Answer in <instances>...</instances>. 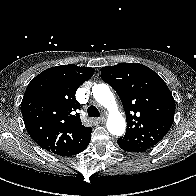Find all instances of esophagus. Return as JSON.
I'll use <instances>...</instances> for the list:
<instances>
[{"label":"esophagus","mask_w":196,"mask_h":196,"mask_svg":"<svg viewBox=\"0 0 196 196\" xmlns=\"http://www.w3.org/2000/svg\"><path fill=\"white\" fill-rule=\"evenodd\" d=\"M98 121H99L100 123H105L106 118H105V117H101V118L98 119Z\"/></svg>","instance_id":"obj_1"}]
</instances>
